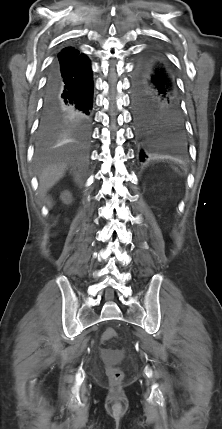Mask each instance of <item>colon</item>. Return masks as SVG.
Instances as JSON below:
<instances>
[{
    "label": "colon",
    "mask_w": 222,
    "mask_h": 429,
    "mask_svg": "<svg viewBox=\"0 0 222 429\" xmlns=\"http://www.w3.org/2000/svg\"><path fill=\"white\" fill-rule=\"evenodd\" d=\"M116 337V332L113 329H107L103 335H102V343L107 344L108 342L112 341ZM107 375L112 384H119L123 378L124 373L123 371L115 366H109L107 368Z\"/></svg>",
    "instance_id": "colon-1"
}]
</instances>
